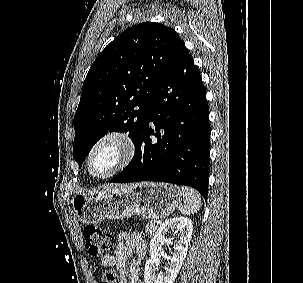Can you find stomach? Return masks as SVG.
<instances>
[{
    "mask_svg": "<svg viewBox=\"0 0 303 283\" xmlns=\"http://www.w3.org/2000/svg\"><path fill=\"white\" fill-rule=\"evenodd\" d=\"M181 196L177 186L146 182L76 194L72 205L78 219L85 224H97L104 219H125L135 214L146 219H160L180 206Z\"/></svg>",
    "mask_w": 303,
    "mask_h": 283,
    "instance_id": "1",
    "label": "stomach"
}]
</instances>
